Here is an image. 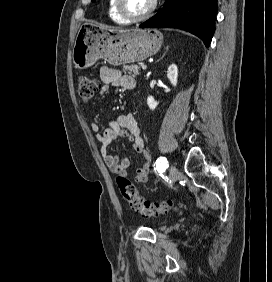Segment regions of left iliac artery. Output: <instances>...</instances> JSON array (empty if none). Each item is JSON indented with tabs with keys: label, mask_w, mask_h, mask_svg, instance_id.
<instances>
[{
	"label": "left iliac artery",
	"mask_w": 272,
	"mask_h": 282,
	"mask_svg": "<svg viewBox=\"0 0 272 282\" xmlns=\"http://www.w3.org/2000/svg\"><path fill=\"white\" fill-rule=\"evenodd\" d=\"M168 167V162L165 157H161L156 161V170L161 174L165 172L166 168Z\"/></svg>",
	"instance_id": "44dca946"
}]
</instances>
